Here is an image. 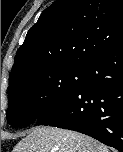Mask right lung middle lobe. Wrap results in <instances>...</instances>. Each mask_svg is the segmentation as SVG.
<instances>
[{"label":"right lung middle lobe","mask_w":123,"mask_h":152,"mask_svg":"<svg viewBox=\"0 0 123 152\" xmlns=\"http://www.w3.org/2000/svg\"><path fill=\"white\" fill-rule=\"evenodd\" d=\"M83 69L58 68L29 74L9 88L7 123L27 126L61 106L80 86Z\"/></svg>","instance_id":"1"}]
</instances>
